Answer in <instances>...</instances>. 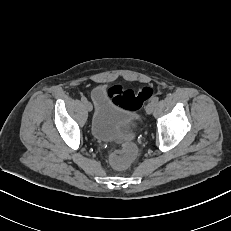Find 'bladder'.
Returning a JSON list of instances; mask_svg holds the SVG:
<instances>
[{
  "label": "bladder",
  "mask_w": 231,
  "mask_h": 231,
  "mask_svg": "<svg viewBox=\"0 0 231 231\" xmlns=\"http://www.w3.org/2000/svg\"><path fill=\"white\" fill-rule=\"evenodd\" d=\"M94 113L91 120V134L99 141H115L128 137L131 133L120 132L121 126L135 123L139 115L124 108L111 98L105 86H98L92 92Z\"/></svg>",
  "instance_id": "bladder-1"
}]
</instances>
